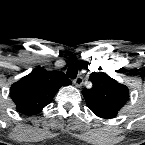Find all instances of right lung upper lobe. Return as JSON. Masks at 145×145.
Here are the masks:
<instances>
[{
  "label": "right lung upper lobe",
  "mask_w": 145,
  "mask_h": 145,
  "mask_svg": "<svg viewBox=\"0 0 145 145\" xmlns=\"http://www.w3.org/2000/svg\"><path fill=\"white\" fill-rule=\"evenodd\" d=\"M70 84L63 72L38 68L12 84L10 94L18 112L35 115L52 101L60 87Z\"/></svg>",
  "instance_id": "obj_1"
}]
</instances>
